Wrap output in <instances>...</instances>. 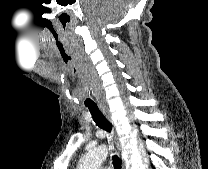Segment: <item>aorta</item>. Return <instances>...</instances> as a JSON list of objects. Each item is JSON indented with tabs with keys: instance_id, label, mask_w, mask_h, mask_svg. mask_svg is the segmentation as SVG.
<instances>
[{
	"instance_id": "aorta-1",
	"label": "aorta",
	"mask_w": 208,
	"mask_h": 169,
	"mask_svg": "<svg viewBox=\"0 0 208 169\" xmlns=\"http://www.w3.org/2000/svg\"><path fill=\"white\" fill-rule=\"evenodd\" d=\"M107 155L108 149L106 146L101 145L94 147L80 158L77 169H100Z\"/></svg>"
}]
</instances>
